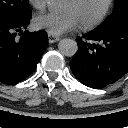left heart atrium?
<instances>
[{
    "mask_svg": "<svg viewBox=\"0 0 128 128\" xmlns=\"http://www.w3.org/2000/svg\"><path fill=\"white\" fill-rule=\"evenodd\" d=\"M33 24L39 30H44L52 35H60L75 29L79 20L72 11L63 13L43 12L34 17Z\"/></svg>",
    "mask_w": 128,
    "mask_h": 128,
    "instance_id": "39dd6f15",
    "label": "left heart atrium"
}]
</instances>
